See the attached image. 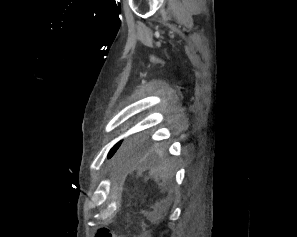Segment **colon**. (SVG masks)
Instances as JSON below:
<instances>
[{
	"label": "colon",
	"instance_id": "colon-1",
	"mask_svg": "<svg viewBox=\"0 0 297 237\" xmlns=\"http://www.w3.org/2000/svg\"><path fill=\"white\" fill-rule=\"evenodd\" d=\"M95 237H124L121 235H115L111 230L107 229V228H100ZM140 237H147L145 235V231L143 232V235Z\"/></svg>",
	"mask_w": 297,
	"mask_h": 237
}]
</instances>
